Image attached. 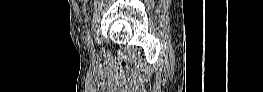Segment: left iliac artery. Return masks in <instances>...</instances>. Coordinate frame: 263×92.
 <instances>
[{
    "mask_svg": "<svg viewBox=\"0 0 263 92\" xmlns=\"http://www.w3.org/2000/svg\"><path fill=\"white\" fill-rule=\"evenodd\" d=\"M86 40H87V43L89 46H93V41L91 39V35H90V31L88 30L87 31V34H86Z\"/></svg>",
    "mask_w": 263,
    "mask_h": 92,
    "instance_id": "left-iliac-artery-1",
    "label": "left iliac artery"
}]
</instances>
